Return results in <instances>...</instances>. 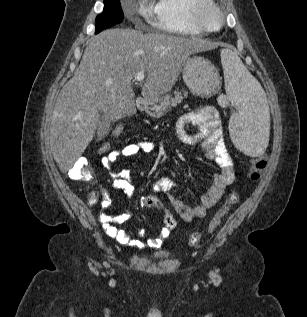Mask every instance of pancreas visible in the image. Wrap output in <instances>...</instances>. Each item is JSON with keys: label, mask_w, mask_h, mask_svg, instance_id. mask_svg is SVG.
Segmentation results:
<instances>
[{"label": "pancreas", "mask_w": 307, "mask_h": 317, "mask_svg": "<svg viewBox=\"0 0 307 317\" xmlns=\"http://www.w3.org/2000/svg\"><path fill=\"white\" fill-rule=\"evenodd\" d=\"M188 95L187 92L183 91V94L180 91L174 92V98H171V102L167 103L163 106V110L166 111L167 109H171V107H176L177 104H180L184 98Z\"/></svg>", "instance_id": "obj_1"}]
</instances>
